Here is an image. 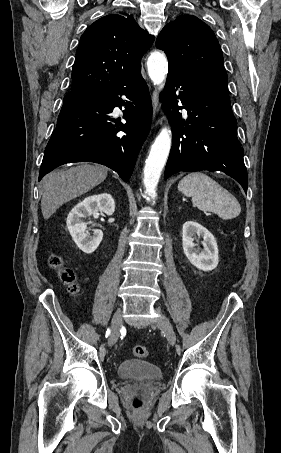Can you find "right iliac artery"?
Segmentation results:
<instances>
[{
  "instance_id": "obj_1",
  "label": "right iliac artery",
  "mask_w": 281,
  "mask_h": 453,
  "mask_svg": "<svg viewBox=\"0 0 281 453\" xmlns=\"http://www.w3.org/2000/svg\"><path fill=\"white\" fill-rule=\"evenodd\" d=\"M109 334H110V329H107V331H106V338L109 336Z\"/></svg>"
}]
</instances>
